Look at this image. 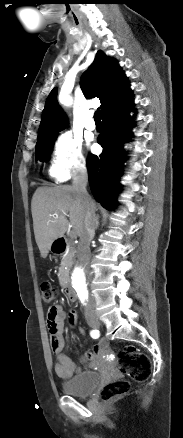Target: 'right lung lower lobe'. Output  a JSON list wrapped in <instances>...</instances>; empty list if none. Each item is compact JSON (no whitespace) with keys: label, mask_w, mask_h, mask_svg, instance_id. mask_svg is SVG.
I'll return each instance as SVG.
<instances>
[{"label":"right lung lower lobe","mask_w":183,"mask_h":438,"mask_svg":"<svg viewBox=\"0 0 183 438\" xmlns=\"http://www.w3.org/2000/svg\"><path fill=\"white\" fill-rule=\"evenodd\" d=\"M133 110V96L130 95L102 115L103 131L97 142L103 147V152L99 156L90 154L87 161L91 191L108 210L115 207V198L121 190L119 179L126 159L123 145L134 125L130 116Z\"/></svg>","instance_id":"98d812e1"}]
</instances>
